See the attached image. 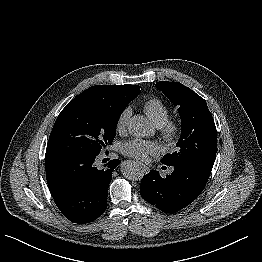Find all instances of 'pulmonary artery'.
Segmentation results:
<instances>
[{
  "instance_id": "e3ab8cb5",
  "label": "pulmonary artery",
  "mask_w": 262,
  "mask_h": 262,
  "mask_svg": "<svg viewBox=\"0 0 262 262\" xmlns=\"http://www.w3.org/2000/svg\"><path fill=\"white\" fill-rule=\"evenodd\" d=\"M173 170H170L169 173H172Z\"/></svg>"
}]
</instances>
